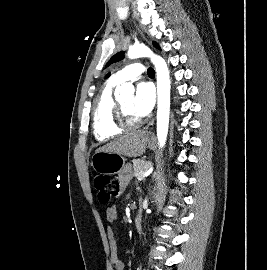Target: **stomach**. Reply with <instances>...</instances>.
<instances>
[{
	"instance_id": "obj_1",
	"label": "stomach",
	"mask_w": 267,
	"mask_h": 270,
	"mask_svg": "<svg viewBox=\"0 0 267 270\" xmlns=\"http://www.w3.org/2000/svg\"><path fill=\"white\" fill-rule=\"evenodd\" d=\"M148 142L152 146L149 140ZM91 165L98 173L117 174L125 166V158L118 153L99 151L93 155Z\"/></svg>"
}]
</instances>
